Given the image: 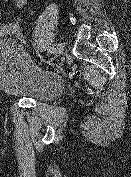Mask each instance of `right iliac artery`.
<instances>
[{"label": "right iliac artery", "mask_w": 131, "mask_h": 177, "mask_svg": "<svg viewBox=\"0 0 131 177\" xmlns=\"http://www.w3.org/2000/svg\"><path fill=\"white\" fill-rule=\"evenodd\" d=\"M47 51H48V53L53 54L55 52V48L49 47Z\"/></svg>", "instance_id": "right-iliac-artery-1"}]
</instances>
